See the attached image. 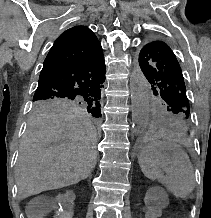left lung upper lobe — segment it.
Listing matches in <instances>:
<instances>
[{
    "mask_svg": "<svg viewBox=\"0 0 211 218\" xmlns=\"http://www.w3.org/2000/svg\"><path fill=\"white\" fill-rule=\"evenodd\" d=\"M139 65L158 97L153 113L170 129L188 139L191 133V115L186 87L180 65L162 41L146 44L139 54Z\"/></svg>",
    "mask_w": 211,
    "mask_h": 218,
    "instance_id": "5c2ea615",
    "label": "left lung upper lobe"
}]
</instances>
